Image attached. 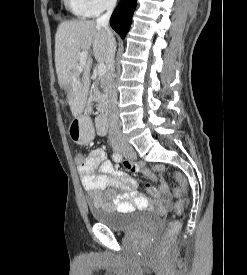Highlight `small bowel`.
<instances>
[{
	"instance_id": "small-bowel-1",
	"label": "small bowel",
	"mask_w": 247,
	"mask_h": 275,
	"mask_svg": "<svg viewBox=\"0 0 247 275\" xmlns=\"http://www.w3.org/2000/svg\"><path fill=\"white\" fill-rule=\"evenodd\" d=\"M135 173H143L152 176L151 171L142 163L135 164ZM163 167H157L159 186L148 185L150 194L158 197L159 207L167 210L172 206L169 187L162 176ZM83 188L89 193L92 204L98 208L129 212L135 206L145 208L149 206V200L138 193L134 179L117 165L108 160L106 152L102 148L91 150L87 158L78 166ZM154 178V177H153ZM122 191L123 194H119ZM133 200L134 204L130 201Z\"/></svg>"
}]
</instances>
